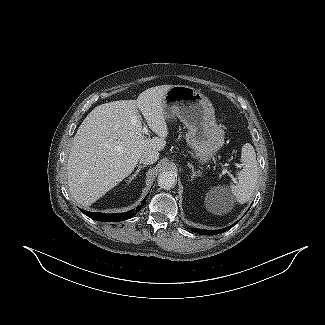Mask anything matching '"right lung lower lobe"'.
<instances>
[{
	"instance_id": "1",
	"label": "right lung lower lobe",
	"mask_w": 325,
	"mask_h": 325,
	"mask_svg": "<svg viewBox=\"0 0 325 325\" xmlns=\"http://www.w3.org/2000/svg\"><path fill=\"white\" fill-rule=\"evenodd\" d=\"M144 206V201L141 203L140 206L136 208V210H131L125 213H118V214H103V213H97V212H89L85 210H81L85 215L88 217L102 222H116V221H123L126 219L131 218L135 215L136 212L140 210V208Z\"/></svg>"
}]
</instances>
